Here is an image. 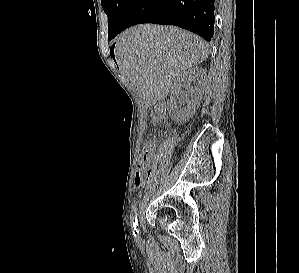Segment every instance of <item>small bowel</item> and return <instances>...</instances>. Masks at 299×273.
Here are the masks:
<instances>
[{
    "mask_svg": "<svg viewBox=\"0 0 299 273\" xmlns=\"http://www.w3.org/2000/svg\"><path fill=\"white\" fill-rule=\"evenodd\" d=\"M156 120H157L156 117H153V121L155 122ZM144 183H145V179H141V180L137 181V179L135 177V179H134V185H135L136 188L141 187Z\"/></svg>",
    "mask_w": 299,
    "mask_h": 273,
    "instance_id": "small-bowel-1",
    "label": "small bowel"
}]
</instances>
